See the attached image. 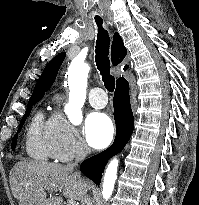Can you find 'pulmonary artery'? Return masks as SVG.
I'll return each mask as SVG.
<instances>
[{
	"instance_id": "pulmonary-artery-1",
	"label": "pulmonary artery",
	"mask_w": 199,
	"mask_h": 205,
	"mask_svg": "<svg viewBox=\"0 0 199 205\" xmlns=\"http://www.w3.org/2000/svg\"><path fill=\"white\" fill-rule=\"evenodd\" d=\"M89 102L92 107L101 109L104 108L107 104V97L103 89L96 87L93 88L89 95Z\"/></svg>"
}]
</instances>
